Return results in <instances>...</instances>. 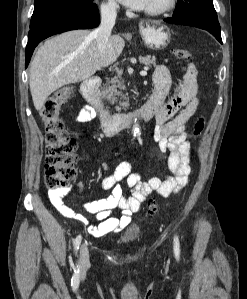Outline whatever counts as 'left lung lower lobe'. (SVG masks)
I'll return each mask as SVG.
<instances>
[{"label":"left lung lower lobe","instance_id":"obj_1","mask_svg":"<svg viewBox=\"0 0 247 299\" xmlns=\"http://www.w3.org/2000/svg\"><path fill=\"white\" fill-rule=\"evenodd\" d=\"M164 21L171 24L194 26L207 30L222 44L220 24L217 17L199 11H192L179 16L166 18Z\"/></svg>","mask_w":247,"mask_h":299}]
</instances>
